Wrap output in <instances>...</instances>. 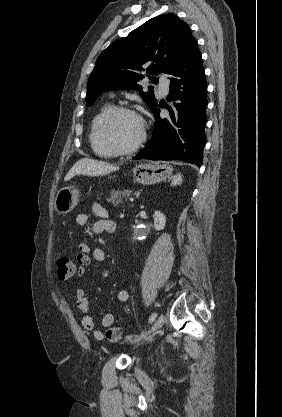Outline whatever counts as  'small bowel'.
Here are the masks:
<instances>
[{"instance_id": "small-bowel-1", "label": "small bowel", "mask_w": 282, "mask_h": 417, "mask_svg": "<svg viewBox=\"0 0 282 417\" xmlns=\"http://www.w3.org/2000/svg\"><path fill=\"white\" fill-rule=\"evenodd\" d=\"M92 213L99 218L96 221L91 229L94 234L109 233L113 234L117 231V224L115 221L111 220L108 216V211L106 207L100 202H94L92 204ZM76 223L81 227L88 226L90 224V215L88 213H79L76 216ZM106 254L103 248L95 247L90 248L86 242H81L78 247V253L76 255V260L78 263V275L82 276L85 273V268L92 262H103L105 260ZM75 297L77 302V307L79 311L83 314L81 317V324L83 328L87 331H90L93 337L96 340H102L106 338V332H103L99 328L92 317L88 315L90 311V302L86 296V292L83 289H77L75 291ZM130 299V292L126 288H121L117 291V300L120 303H126ZM116 316L113 313H107L103 315L101 320L102 328L106 329L107 323H115Z\"/></svg>"}]
</instances>
